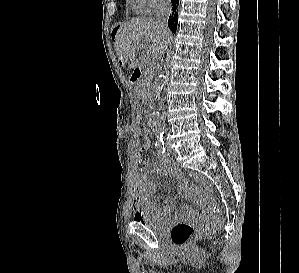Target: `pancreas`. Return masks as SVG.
<instances>
[{"label":"pancreas","mask_w":299,"mask_h":273,"mask_svg":"<svg viewBox=\"0 0 299 273\" xmlns=\"http://www.w3.org/2000/svg\"><path fill=\"white\" fill-rule=\"evenodd\" d=\"M148 89L149 88L147 85V79L146 78L140 79L136 87L138 94H146L148 92Z\"/></svg>","instance_id":"cf45deb5"}]
</instances>
